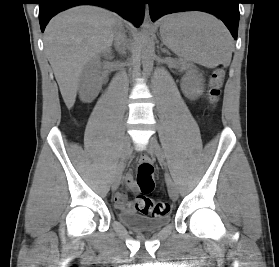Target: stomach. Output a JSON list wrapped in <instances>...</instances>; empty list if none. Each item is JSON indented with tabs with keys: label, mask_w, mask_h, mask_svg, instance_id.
<instances>
[{
	"label": "stomach",
	"mask_w": 279,
	"mask_h": 267,
	"mask_svg": "<svg viewBox=\"0 0 279 267\" xmlns=\"http://www.w3.org/2000/svg\"><path fill=\"white\" fill-rule=\"evenodd\" d=\"M170 24H172V16L165 18L161 27H163L165 25H170Z\"/></svg>",
	"instance_id": "obj_1"
}]
</instances>
